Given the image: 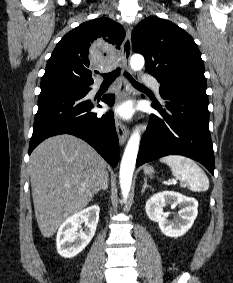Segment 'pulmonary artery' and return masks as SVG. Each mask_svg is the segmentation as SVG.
<instances>
[{
  "instance_id": "obj_1",
  "label": "pulmonary artery",
  "mask_w": 233,
  "mask_h": 283,
  "mask_svg": "<svg viewBox=\"0 0 233 283\" xmlns=\"http://www.w3.org/2000/svg\"><path fill=\"white\" fill-rule=\"evenodd\" d=\"M144 83L148 84L153 88V90L156 92L157 95H159V88L160 84L159 82L153 78V77H144L143 79Z\"/></svg>"
}]
</instances>
